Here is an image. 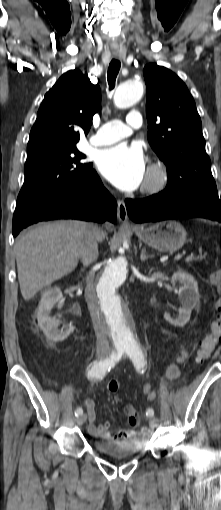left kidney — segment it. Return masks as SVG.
<instances>
[{"instance_id": "5707ae66", "label": "left kidney", "mask_w": 221, "mask_h": 510, "mask_svg": "<svg viewBox=\"0 0 221 510\" xmlns=\"http://www.w3.org/2000/svg\"><path fill=\"white\" fill-rule=\"evenodd\" d=\"M172 282L182 285L178 294L181 307L178 309L179 316L177 318L174 319L168 314H164V318L174 326L183 327L189 321L193 308L199 302L198 284L192 275L183 270H178L173 274Z\"/></svg>"}]
</instances>
